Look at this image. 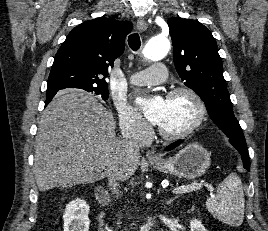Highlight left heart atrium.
Segmentation results:
<instances>
[{"label":"left heart atrium","instance_id":"left-heart-atrium-1","mask_svg":"<svg viewBox=\"0 0 268 231\" xmlns=\"http://www.w3.org/2000/svg\"><path fill=\"white\" fill-rule=\"evenodd\" d=\"M137 104L142 109L147 121L151 124L158 125L165 105V100L160 96L154 98H139Z\"/></svg>","mask_w":268,"mask_h":231}]
</instances>
